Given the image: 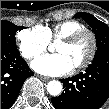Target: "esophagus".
<instances>
[{
    "label": "esophagus",
    "instance_id": "1",
    "mask_svg": "<svg viewBox=\"0 0 109 109\" xmlns=\"http://www.w3.org/2000/svg\"><path fill=\"white\" fill-rule=\"evenodd\" d=\"M39 78H40L42 81H44V82H47V81L50 80L49 77H45V76H40Z\"/></svg>",
    "mask_w": 109,
    "mask_h": 109
}]
</instances>
